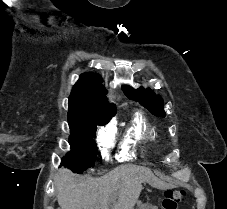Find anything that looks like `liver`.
<instances>
[{
  "mask_svg": "<svg viewBox=\"0 0 227 209\" xmlns=\"http://www.w3.org/2000/svg\"><path fill=\"white\" fill-rule=\"evenodd\" d=\"M153 179L155 175L146 167L122 165L103 177L75 183L71 171L62 169L55 177L58 205L61 209H108L109 199L115 201L118 197L114 209H132L142 191L141 181Z\"/></svg>",
  "mask_w": 227,
  "mask_h": 209,
  "instance_id": "1",
  "label": "liver"
}]
</instances>
